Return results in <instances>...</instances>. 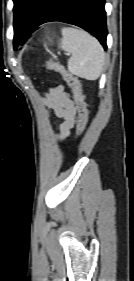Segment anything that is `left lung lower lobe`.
<instances>
[{
  "instance_id": "1",
  "label": "left lung lower lobe",
  "mask_w": 134,
  "mask_h": 281,
  "mask_svg": "<svg viewBox=\"0 0 134 281\" xmlns=\"http://www.w3.org/2000/svg\"><path fill=\"white\" fill-rule=\"evenodd\" d=\"M105 0H42L27 27L15 31L14 49L41 24L61 21L79 26L92 33L107 49Z\"/></svg>"
}]
</instances>
